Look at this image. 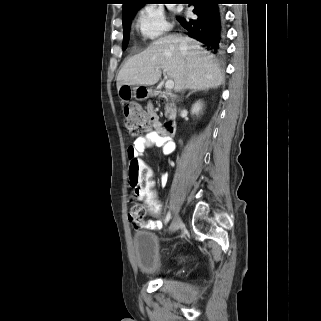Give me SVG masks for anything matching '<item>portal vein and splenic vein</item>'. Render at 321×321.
<instances>
[{
    "instance_id": "obj_1",
    "label": "portal vein and splenic vein",
    "mask_w": 321,
    "mask_h": 321,
    "mask_svg": "<svg viewBox=\"0 0 321 321\" xmlns=\"http://www.w3.org/2000/svg\"><path fill=\"white\" fill-rule=\"evenodd\" d=\"M174 87V81L171 79H168L165 83V88L170 90Z\"/></svg>"
}]
</instances>
